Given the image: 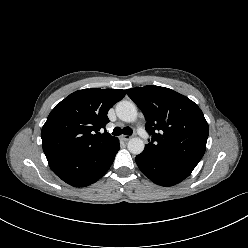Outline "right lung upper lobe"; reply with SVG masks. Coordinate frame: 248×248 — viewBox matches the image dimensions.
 <instances>
[{
    "instance_id": "1",
    "label": "right lung upper lobe",
    "mask_w": 248,
    "mask_h": 248,
    "mask_svg": "<svg viewBox=\"0 0 248 248\" xmlns=\"http://www.w3.org/2000/svg\"><path fill=\"white\" fill-rule=\"evenodd\" d=\"M124 96V90L91 88L62 100L42 127L46 157L88 154L113 143L117 138L98 131L109 122L108 110Z\"/></svg>"
}]
</instances>
